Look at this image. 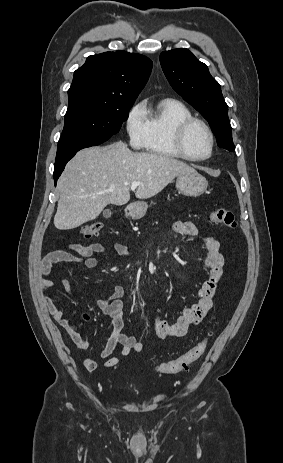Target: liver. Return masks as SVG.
Returning a JSON list of instances; mask_svg holds the SVG:
<instances>
[{
	"label": "liver",
	"instance_id": "6515ba94",
	"mask_svg": "<svg viewBox=\"0 0 283 463\" xmlns=\"http://www.w3.org/2000/svg\"><path fill=\"white\" fill-rule=\"evenodd\" d=\"M195 172L172 157L132 152L125 143L79 151L57 183L59 200L54 225L69 230L97 218L108 204L124 205L130 186L141 182L135 196L147 199L161 192L175 177Z\"/></svg>",
	"mask_w": 283,
	"mask_h": 463
}]
</instances>
